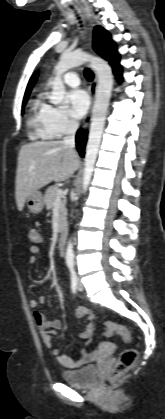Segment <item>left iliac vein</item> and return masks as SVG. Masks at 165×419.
Segmentation results:
<instances>
[{"instance_id":"4c4485c4","label":"left iliac vein","mask_w":165,"mask_h":419,"mask_svg":"<svg viewBox=\"0 0 165 419\" xmlns=\"http://www.w3.org/2000/svg\"><path fill=\"white\" fill-rule=\"evenodd\" d=\"M77 289H78L79 291H82V290H83V285H82V283H81V281H80V279H79V278L77 279Z\"/></svg>"}]
</instances>
